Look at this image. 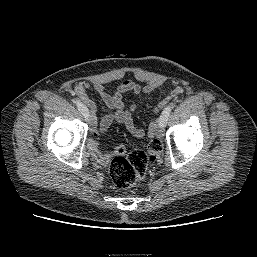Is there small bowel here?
<instances>
[{"label":"small bowel","instance_id":"1","mask_svg":"<svg viewBox=\"0 0 257 257\" xmlns=\"http://www.w3.org/2000/svg\"><path fill=\"white\" fill-rule=\"evenodd\" d=\"M162 85L160 80H153L145 85H141L132 80L126 79L121 81L112 91L107 90V88L96 83L93 85L94 91L100 96L102 101L107 106L109 112H107L101 118L96 117L97 105L88 96V91L90 85L87 82H79L74 87V93L79 98V100L90 110L91 114L94 116L95 125L99 131L106 130L113 122L123 124L126 129L135 137L143 138L145 132L143 129L137 127L133 120V112L135 111V106L132 105L130 108H126L123 102V96L126 93H150ZM182 92V88L179 86L172 87L166 94H164L158 103L153 107L152 113L157 115V113L173 98ZM150 137L156 135V123L153 122L148 134ZM105 161H101L104 163Z\"/></svg>","mask_w":257,"mask_h":257}]
</instances>
